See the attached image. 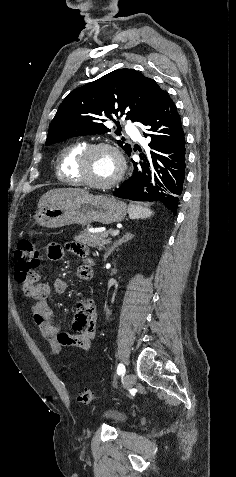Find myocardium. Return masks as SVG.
I'll return each instance as SVG.
<instances>
[{
	"instance_id": "f54148a6",
	"label": "myocardium",
	"mask_w": 236,
	"mask_h": 477,
	"mask_svg": "<svg viewBox=\"0 0 236 477\" xmlns=\"http://www.w3.org/2000/svg\"><path fill=\"white\" fill-rule=\"evenodd\" d=\"M99 149L110 150L115 155L118 162L117 174L114 176L113 179L107 182H94L86 176L87 161L90 155L94 151ZM125 168H126L125 159L122 153L120 152V150L114 145L110 143H106V142H97V143H92L85 146L82 152L79 154L77 158V162H76V173L81 183L96 189H108L116 185L123 178L125 173Z\"/></svg>"
}]
</instances>
